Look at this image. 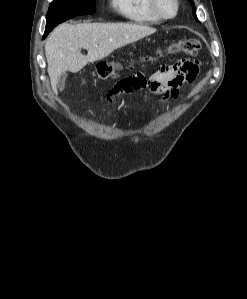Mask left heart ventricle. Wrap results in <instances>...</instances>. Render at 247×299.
<instances>
[{"label": "left heart ventricle", "mask_w": 247, "mask_h": 299, "mask_svg": "<svg viewBox=\"0 0 247 299\" xmlns=\"http://www.w3.org/2000/svg\"><path fill=\"white\" fill-rule=\"evenodd\" d=\"M160 8L166 15H171L174 12V5L170 0H161Z\"/></svg>", "instance_id": "b2bd125f"}]
</instances>
